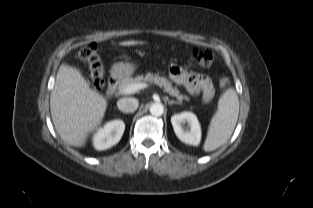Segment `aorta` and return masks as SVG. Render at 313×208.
<instances>
[{"mask_svg": "<svg viewBox=\"0 0 313 208\" xmlns=\"http://www.w3.org/2000/svg\"><path fill=\"white\" fill-rule=\"evenodd\" d=\"M150 113L154 116H161L164 113V106L162 103L156 102L151 105Z\"/></svg>", "mask_w": 313, "mask_h": 208, "instance_id": "obj_1", "label": "aorta"}]
</instances>
